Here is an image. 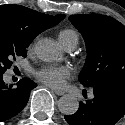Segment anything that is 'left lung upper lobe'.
<instances>
[{
    "label": "left lung upper lobe",
    "instance_id": "1",
    "mask_svg": "<svg viewBox=\"0 0 125 125\" xmlns=\"http://www.w3.org/2000/svg\"><path fill=\"white\" fill-rule=\"evenodd\" d=\"M69 20L86 44V64L79 76L82 85L125 83V26L99 14L71 15Z\"/></svg>",
    "mask_w": 125,
    "mask_h": 125
}]
</instances>
